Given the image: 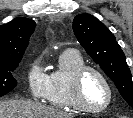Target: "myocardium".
<instances>
[{
  "label": "myocardium",
  "mask_w": 133,
  "mask_h": 118,
  "mask_svg": "<svg viewBox=\"0 0 133 118\" xmlns=\"http://www.w3.org/2000/svg\"><path fill=\"white\" fill-rule=\"evenodd\" d=\"M89 72L96 73L103 80L107 88V92H108L107 101L103 106L99 108H93V107L88 106L83 97V81H84L85 76ZM72 96H73V99L76 105L78 106L80 110L85 111L90 114H99V113L106 111L112 104V101L114 98V90H113V87H112V84L109 78L102 70H100L99 68L95 66L85 65L76 72L73 78Z\"/></svg>",
  "instance_id": "obj_1"
}]
</instances>
